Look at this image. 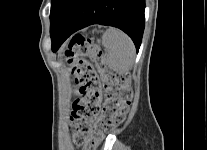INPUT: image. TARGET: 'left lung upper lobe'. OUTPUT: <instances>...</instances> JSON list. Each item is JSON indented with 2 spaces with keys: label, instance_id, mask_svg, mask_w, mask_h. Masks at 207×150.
<instances>
[{
  "label": "left lung upper lobe",
  "instance_id": "1",
  "mask_svg": "<svg viewBox=\"0 0 207 150\" xmlns=\"http://www.w3.org/2000/svg\"><path fill=\"white\" fill-rule=\"evenodd\" d=\"M68 0H52L51 1V12H50V28L55 24L57 18L59 17L65 3Z\"/></svg>",
  "mask_w": 207,
  "mask_h": 150
}]
</instances>
